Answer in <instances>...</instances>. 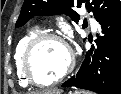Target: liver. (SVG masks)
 <instances>
[{"label": "liver", "mask_w": 121, "mask_h": 94, "mask_svg": "<svg viewBox=\"0 0 121 94\" xmlns=\"http://www.w3.org/2000/svg\"><path fill=\"white\" fill-rule=\"evenodd\" d=\"M59 91H55V90H46V91H42V92H36L34 94H59Z\"/></svg>", "instance_id": "1"}]
</instances>
